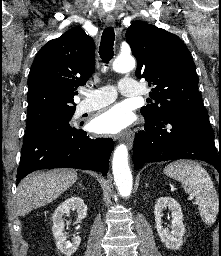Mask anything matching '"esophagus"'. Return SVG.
<instances>
[{
  "mask_svg": "<svg viewBox=\"0 0 221 256\" xmlns=\"http://www.w3.org/2000/svg\"><path fill=\"white\" fill-rule=\"evenodd\" d=\"M106 25L109 27H112L115 25V18L113 16H108L105 20ZM134 132L133 131H126L125 133H122L117 136L119 140H124L127 142L128 146L131 147L133 140H134Z\"/></svg>",
  "mask_w": 221,
  "mask_h": 256,
  "instance_id": "34e87169",
  "label": "esophagus"
}]
</instances>
